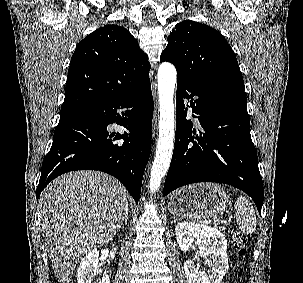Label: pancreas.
Instances as JSON below:
<instances>
[{"mask_svg":"<svg viewBox=\"0 0 303 283\" xmlns=\"http://www.w3.org/2000/svg\"><path fill=\"white\" fill-rule=\"evenodd\" d=\"M215 229H217V227H216ZM218 229H219L221 232H225V228H224V227H219Z\"/></svg>","mask_w":303,"mask_h":283,"instance_id":"obj_1","label":"pancreas"}]
</instances>
